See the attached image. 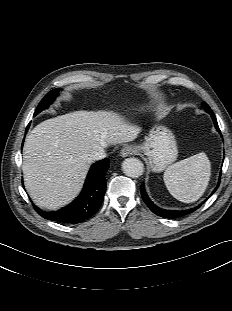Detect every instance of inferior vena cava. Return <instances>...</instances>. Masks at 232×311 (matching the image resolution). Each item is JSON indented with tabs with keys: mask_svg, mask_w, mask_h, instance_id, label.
<instances>
[{
	"mask_svg": "<svg viewBox=\"0 0 232 311\" xmlns=\"http://www.w3.org/2000/svg\"><path fill=\"white\" fill-rule=\"evenodd\" d=\"M105 157H106V153H105L104 148H100L96 151H93L91 154H89L88 162L92 163L94 161L101 160Z\"/></svg>",
	"mask_w": 232,
	"mask_h": 311,
	"instance_id": "1",
	"label": "inferior vena cava"
}]
</instances>
